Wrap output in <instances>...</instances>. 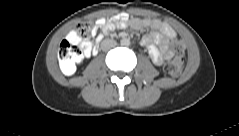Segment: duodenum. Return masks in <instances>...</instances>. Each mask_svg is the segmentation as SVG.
<instances>
[{
    "mask_svg": "<svg viewBox=\"0 0 239 136\" xmlns=\"http://www.w3.org/2000/svg\"><path fill=\"white\" fill-rule=\"evenodd\" d=\"M100 38L98 39V41H97V44L93 47V53L95 54V53H97V51H98V45H99V42H100Z\"/></svg>",
    "mask_w": 239,
    "mask_h": 136,
    "instance_id": "1",
    "label": "duodenum"
}]
</instances>
